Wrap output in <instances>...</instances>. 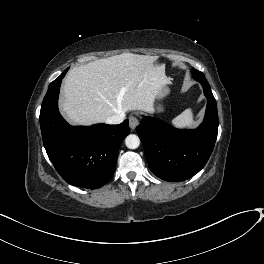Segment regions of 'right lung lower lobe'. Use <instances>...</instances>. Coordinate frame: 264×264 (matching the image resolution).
I'll list each match as a JSON object with an SVG mask.
<instances>
[{
	"instance_id": "98d812e1",
	"label": "right lung lower lobe",
	"mask_w": 264,
	"mask_h": 264,
	"mask_svg": "<svg viewBox=\"0 0 264 264\" xmlns=\"http://www.w3.org/2000/svg\"><path fill=\"white\" fill-rule=\"evenodd\" d=\"M66 69L48 88L40 111L47 155L69 184L96 189L114 174L119 147L129 134L128 120L119 125L70 126L58 110V95Z\"/></svg>"
}]
</instances>
